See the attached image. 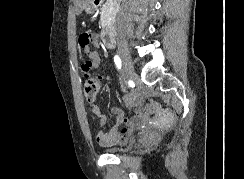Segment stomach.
<instances>
[{
    "label": "stomach",
    "instance_id": "stomach-1",
    "mask_svg": "<svg viewBox=\"0 0 244 179\" xmlns=\"http://www.w3.org/2000/svg\"><path fill=\"white\" fill-rule=\"evenodd\" d=\"M85 12H87V14H93V12H95V8L93 6V4H88V6H86V8H84Z\"/></svg>",
    "mask_w": 244,
    "mask_h": 179
}]
</instances>
